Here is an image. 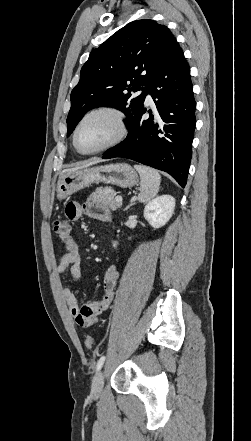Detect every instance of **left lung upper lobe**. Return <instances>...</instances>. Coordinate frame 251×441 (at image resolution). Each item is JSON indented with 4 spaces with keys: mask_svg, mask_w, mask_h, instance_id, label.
<instances>
[{
    "mask_svg": "<svg viewBox=\"0 0 251 441\" xmlns=\"http://www.w3.org/2000/svg\"><path fill=\"white\" fill-rule=\"evenodd\" d=\"M177 44L166 26L143 19L127 24L94 49L71 93L67 136L85 113L99 106L122 111L128 126L143 106L147 84L164 66ZM138 90L142 93L133 97L131 93Z\"/></svg>",
    "mask_w": 251,
    "mask_h": 441,
    "instance_id": "5c2ea615",
    "label": "left lung upper lobe"
}]
</instances>
